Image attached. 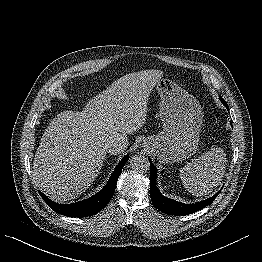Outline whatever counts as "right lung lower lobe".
<instances>
[{"label": "right lung lower lobe", "instance_id": "obj_1", "mask_svg": "<svg viewBox=\"0 0 262 262\" xmlns=\"http://www.w3.org/2000/svg\"><path fill=\"white\" fill-rule=\"evenodd\" d=\"M129 159V155H126L116 166L114 172L112 173L110 179L108 180L105 187L95 194L94 196L85 199L80 202L72 204H58L51 201L46 195L42 192H39L46 204L55 212L68 216V217H88L94 215L101 211L111 200L116 185L118 177Z\"/></svg>", "mask_w": 262, "mask_h": 262}]
</instances>
